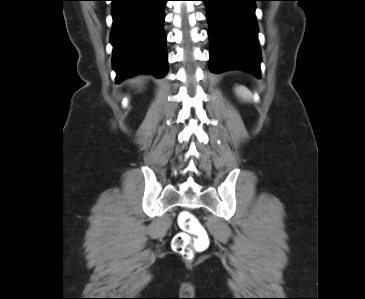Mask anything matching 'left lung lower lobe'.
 Wrapping results in <instances>:
<instances>
[{
  "label": "left lung lower lobe",
  "instance_id": "left-lung-lower-lobe-1",
  "mask_svg": "<svg viewBox=\"0 0 365 299\" xmlns=\"http://www.w3.org/2000/svg\"><path fill=\"white\" fill-rule=\"evenodd\" d=\"M207 9L210 70H243L261 78L255 1L202 0Z\"/></svg>",
  "mask_w": 365,
  "mask_h": 299
}]
</instances>
